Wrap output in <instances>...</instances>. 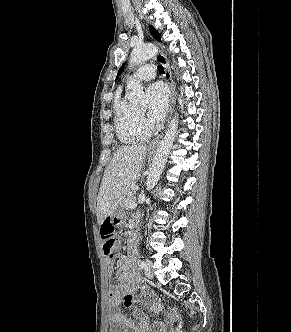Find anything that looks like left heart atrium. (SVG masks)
<instances>
[{"mask_svg": "<svg viewBox=\"0 0 291 332\" xmlns=\"http://www.w3.org/2000/svg\"><path fill=\"white\" fill-rule=\"evenodd\" d=\"M150 98L148 117L151 122L159 123L163 120L169 102L168 90L162 83H154L147 89Z\"/></svg>", "mask_w": 291, "mask_h": 332, "instance_id": "left-heart-atrium-1", "label": "left heart atrium"}]
</instances>
